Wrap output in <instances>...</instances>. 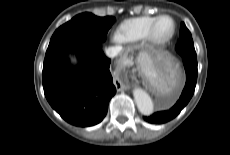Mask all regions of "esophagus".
<instances>
[{
    "label": "esophagus",
    "mask_w": 230,
    "mask_h": 155,
    "mask_svg": "<svg viewBox=\"0 0 230 155\" xmlns=\"http://www.w3.org/2000/svg\"><path fill=\"white\" fill-rule=\"evenodd\" d=\"M120 67H123L122 64H119ZM114 84L116 86L117 91H121V90H126L128 88V84L123 83L119 77H116L114 80Z\"/></svg>",
    "instance_id": "34e87169"
}]
</instances>
